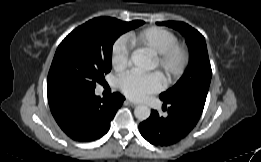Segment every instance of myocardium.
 Returning <instances> with one entry per match:
<instances>
[{"label":"myocardium","instance_id":"myocardium-1","mask_svg":"<svg viewBox=\"0 0 261 162\" xmlns=\"http://www.w3.org/2000/svg\"><path fill=\"white\" fill-rule=\"evenodd\" d=\"M157 67L164 73L168 83L181 78L186 72L190 63V52L182 44H175L164 51L154 54Z\"/></svg>","mask_w":261,"mask_h":162}]
</instances>
